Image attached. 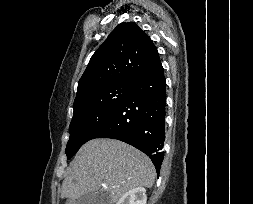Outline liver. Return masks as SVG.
Returning a JSON list of instances; mask_svg holds the SVG:
<instances>
[{
  "label": "liver",
  "instance_id": "1",
  "mask_svg": "<svg viewBox=\"0 0 253 204\" xmlns=\"http://www.w3.org/2000/svg\"><path fill=\"white\" fill-rule=\"evenodd\" d=\"M155 168L145 154L114 139H93L76 153L62 183L61 198L76 204L85 194L102 189L114 204L126 192L137 187L151 188Z\"/></svg>",
  "mask_w": 253,
  "mask_h": 204
}]
</instances>
